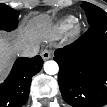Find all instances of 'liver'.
<instances>
[{
	"label": "liver",
	"mask_w": 107,
	"mask_h": 107,
	"mask_svg": "<svg viewBox=\"0 0 107 107\" xmlns=\"http://www.w3.org/2000/svg\"><path fill=\"white\" fill-rule=\"evenodd\" d=\"M51 18L46 14L34 17L27 26L8 38L5 35L0 37V71L4 76L10 69L12 60L18 54L20 47L25 45L38 46L40 41L52 31Z\"/></svg>",
	"instance_id": "obj_1"
}]
</instances>
